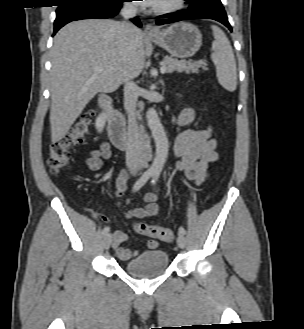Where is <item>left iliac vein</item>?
I'll list each match as a JSON object with an SVG mask.
<instances>
[{
    "instance_id": "obj_1",
    "label": "left iliac vein",
    "mask_w": 304,
    "mask_h": 329,
    "mask_svg": "<svg viewBox=\"0 0 304 329\" xmlns=\"http://www.w3.org/2000/svg\"><path fill=\"white\" fill-rule=\"evenodd\" d=\"M177 245L182 249L186 246V237L184 234L179 233L177 238Z\"/></svg>"
}]
</instances>
